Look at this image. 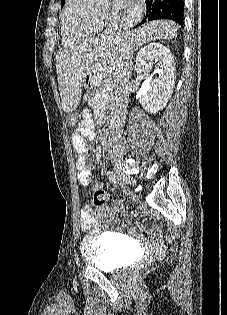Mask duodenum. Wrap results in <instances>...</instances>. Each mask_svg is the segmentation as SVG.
I'll use <instances>...</instances> for the list:
<instances>
[{
  "mask_svg": "<svg viewBox=\"0 0 227 315\" xmlns=\"http://www.w3.org/2000/svg\"><path fill=\"white\" fill-rule=\"evenodd\" d=\"M106 138H107L106 135H104V136L102 137V140L105 141Z\"/></svg>",
  "mask_w": 227,
  "mask_h": 315,
  "instance_id": "obj_1",
  "label": "duodenum"
}]
</instances>
